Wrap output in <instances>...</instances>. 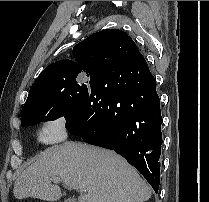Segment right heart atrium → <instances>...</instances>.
<instances>
[{"instance_id":"d8ad5b80","label":"right heart atrium","mask_w":209,"mask_h":202,"mask_svg":"<svg viewBox=\"0 0 209 202\" xmlns=\"http://www.w3.org/2000/svg\"><path fill=\"white\" fill-rule=\"evenodd\" d=\"M68 137L67 123L61 116L43 118L36 129V138L45 145L60 144Z\"/></svg>"}]
</instances>
